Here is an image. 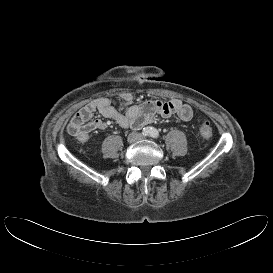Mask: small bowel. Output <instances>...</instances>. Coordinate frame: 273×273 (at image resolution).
<instances>
[{
	"label": "small bowel",
	"instance_id": "obj_1",
	"mask_svg": "<svg viewBox=\"0 0 273 273\" xmlns=\"http://www.w3.org/2000/svg\"><path fill=\"white\" fill-rule=\"evenodd\" d=\"M121 106H128L125 114L117 110V103L109 98H99L83 106L75 113L68 124V131L80 142H86L91 132L103 130L107 124L95 119L94 114L113 119L122 128L139 129L151 123L156 115L169 117L177 115L183 121H189L193 116L192 108L179 99L169 101L150 100L141 104H132V96L124 94Z\"/></svg>",
	"mask_w": 273,
	"mask_h": 273
}]
</instances>
